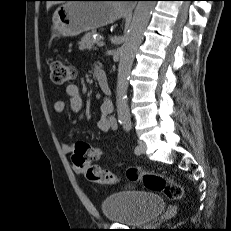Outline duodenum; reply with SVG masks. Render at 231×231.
Listing matches in <instances>:
<instances>
[{
  "instance_id": "1",
  "label": "duodenum",
  "mask_w": 231,
  "mask_h": 231,
  "mask_svg": "<svg viewBox=\"0 0 231 231\" xmlns=\"http://www.w3.org/2000/svg\"><path fill=\"white\" fill-rule=\"evenodd\" d=\"M95 76H96L97 82H98L101 90L105 94L111 95V88H110L109 81H108V78H107L105 72L101 68H96L95 69Z\"/></svg>"
}]
</instances>
